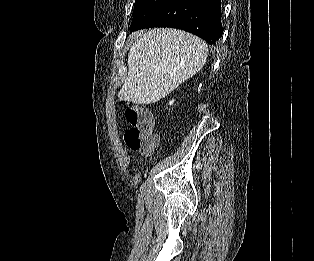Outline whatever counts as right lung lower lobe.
<instances>
[{"label":"right lung lower lobe","instance_id":"98d812e1","mask_svg":"<svg viewBox=\"0 0 314 261\" xmlns=\"http://www.w3.org/2000/svg\"><path fill=\"white\" fill-rule=\"evenodd\" d=\"M171 27L195 34L209 44L222 37L221 0H170L132 31Z\"/></svg>","mask_w":314,"mask_h":261}]
</instances>
